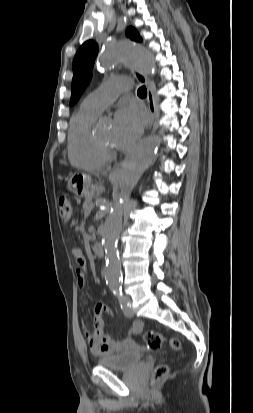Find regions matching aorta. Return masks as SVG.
<instances>
[{
  "instance_id": "obj_1",
  "label": "aorta",
  "mask_w": 253,
  "mask_h": 413,
  "mask_svg": "<svg viewBox=\"0 0 253 413\" xmlns=\"http://www.w3.org/2000/svg\"><path fill=\"white\" fill-rule=\"evenodd\" d=\"M121 61L148 74H153L155 70L150 52L134 41L121 40L106 47L100 56L99 65L107 68ZM159 143V139L156 137L144 139L126 157L119 172L120 196L111 208L102 229V245L106 259L105 279L112 290H118L121 284V265L117 241L122 230L124 203L143 172L153 161Z\"/></svg>"
}]
</instances>
